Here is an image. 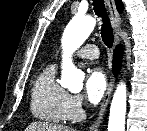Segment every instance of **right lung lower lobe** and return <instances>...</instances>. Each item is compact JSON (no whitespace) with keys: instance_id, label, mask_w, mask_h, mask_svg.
Wrapping results in <instances>:
<instances>
[{"instance_id":"right-lung-lower-lobe-1","label":"right lung lower lobe","mask_w":147,"mask_h":131,"mask_svg":"<svg viewBox=\"0 0 147 131\" xmlns=\"http://www.w3.org/2000/svg\"><path fill=\"white\" fill-rule=\"evenodd\" d=\"M121 55H122L121 47H117L115 50V55L113 60L115 74L120 70Z\"/></svg>"}]
</instances>
